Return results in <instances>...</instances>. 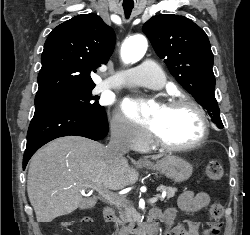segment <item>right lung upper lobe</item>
Masks as SVG:
<instances>
[{
    "label": "right lung upper lobe",
    "instance_id": "right-lung-upper-lobe-1",
    "mask_svg": "<svg viewBox=\"0 0 250 235\" xmlns=\"http://www.w3.org/2000/svg\"><path fill=\"white\" fill-rule=\"evenodd\" d=\"M115 33L95 14H82L49 34L41 56L35 98L94 86L90 72L106 64Z\"/></svg>",
    "mask_w": 250,
    "mask_h": 235
}]
</instances>
